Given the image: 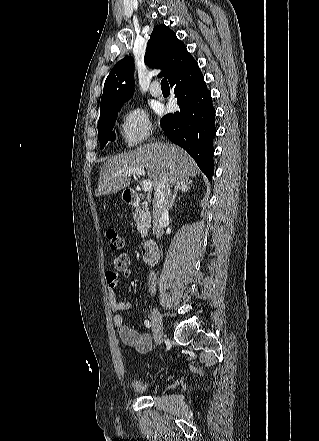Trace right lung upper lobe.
I'll return each mask as SVG.
<instances>
[{"mask_svg":"<svg viewBox=\"0 0 319 441\" xmlns=\"http://www.w3.org/2000/svg\"><path fill=\"white\" fill-rule=\"evenodd\" d=\"M145 63L162 71L158 76L169 82L195 63L186 46L164 24L156 25L150 35L145 53ZM134 92V59L126 57L111 70L104 83L100 110L123 105Z\"/></svg>","mask_w":319,"mask_h":441,"instance_id":"obj_1","label":"right lung upper lobe"}]
</instances>
